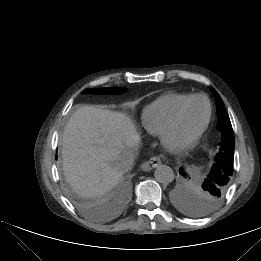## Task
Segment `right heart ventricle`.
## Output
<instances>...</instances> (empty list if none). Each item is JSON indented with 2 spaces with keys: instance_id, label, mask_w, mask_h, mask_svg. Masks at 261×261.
I'll return each mask as SVG.
<instances>
[{
  "instance_id": "e07e8e85",
  "label": "right heart ventricle",
  "mask_w": 261,
  "mask_h": 261,
  "mask_svg": "<svg viewBox=\"0 0 261 261\" xmlns=\"http://www.w3.org/2000/svg\"><path fill=\"white\" fill-rule=\"evenodd\" d=\"M191 94L166 93L148 104L142 111V126L151 136H160L176 108Z\"/></svg>"
}]
</instances>
